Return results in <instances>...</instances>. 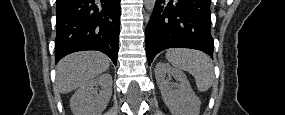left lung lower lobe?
<instances>
[{
    "instance_id": "0a47b994",
    "label": "left lung lower lobe",
    "mask_w": 285,
    "mask_h": 115,
    "mask_svg": "<svg viewBox=\"0 0 285 115\" xmlns=\"http://www.w3.org/2000/svg\"><path fill=\"white\" fill-rule=\"evenodd\" d=\"M211 0H157L145 30L149 65L162 50L194 48L212 55Z\"/></svg>"
}]
</instances>
